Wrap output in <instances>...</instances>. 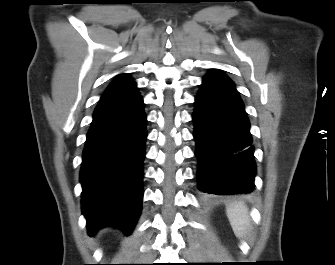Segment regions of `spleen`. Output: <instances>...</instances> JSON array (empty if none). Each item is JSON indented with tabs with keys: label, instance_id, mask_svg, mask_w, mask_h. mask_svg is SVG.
<instances>
[{
	"label": "spleen",
	"instance_id": "obj_1",
	"mask_svg": "<svg viewBox=\"0 0 335 265\" xmlns=\"http://www.w3.org/2000/svg\"><path fill=\"white\" fill-rule=\"evenodd\" d=\"M226 213L234 234L238 238H243L250 228L247 207L242 203H234L227 207Z\"/></svg>",
	"mask_w": 335,
	"mask_h": 265
}]
</instances>
